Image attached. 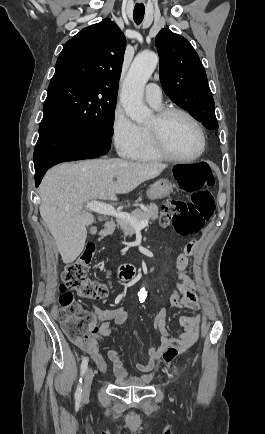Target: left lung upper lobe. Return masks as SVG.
I'll return each mask as SVG.
<instances>
[{"instance_id": "left-lung-upper-lobe-1", "label": "left lung upper lobe", "mask_w": 265, "mask_h": 434, "mask_svg": "<svg viewBox=\"0 0 265 434\" xmlns=\"http://www.w3.org/2000/svg\"><path fill=\"white\" fill-rule=\"evenodd\" d=\"M164 92L210 130H218L215 103L198 54L184 37L162 29L156 37Z\"/></svg>"}]
</instances>
